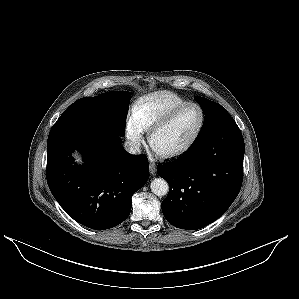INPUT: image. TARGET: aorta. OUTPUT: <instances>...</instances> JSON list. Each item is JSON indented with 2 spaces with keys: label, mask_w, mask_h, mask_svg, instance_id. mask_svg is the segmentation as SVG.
<instances>
[{
  "label": "aorta",
  "mask_w": 299,
  "mask_h": 299,
  "mask_svg": "<svg viewBox=\"0 0 299 299\" xmlns=\"http://www.w3.org/2000/svg\"><path fill=\"white\" fill-rule=\"evenodd\" d=\"M151 191L157 196H164L168 193L169 185L162 178H155L150 184Z\"/></svg>",
  "instance_id": "aorta-1"
}]
</instances>
